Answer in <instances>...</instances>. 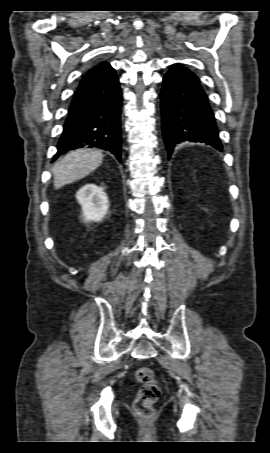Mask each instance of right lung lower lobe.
Returning <instances> with one entry per match:
<instances>
[{"label": "right lung lower lobe", "mask_w": 270, "mask_h": 453, "mask_svg": "<svg viewBox=\"0 0 270 453\" xmlns=\"http://www.w3.org/2000/svg\"><path fill=\"white\" fill-rule=\"evenodd\" d=\"M121 102L119 80L111 66L80 83L52 162L70 150L85 146L109 151L121 161Z\"/></svg>", "instance_id": "right-lung-lower-lobe-1"}]
</instances>
